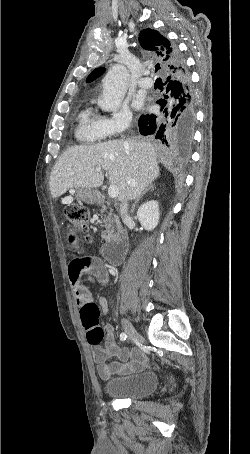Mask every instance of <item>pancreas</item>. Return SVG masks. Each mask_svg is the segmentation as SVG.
Masks as SVG:
<instances>
[{
    "label": "pancreas",
    "mask_w": 250,
    "mask_h": 454,
    "mask_svg": "<svg viewBox=\"0 0 250 454\" xmlns=\"http://www.w3.org/2000/svg\"><path fill=\"white\" fill-rule=\"evenodd\" d=\"M106 210L107 207L103 206L101 212H105ZM103 223L105 231L102 233V238L108 241L113 238L114 225L117 223V217L110 212L107 217H104Z\"/></svg>",
    "instance_id": "obj_1"
}]
</instances>
